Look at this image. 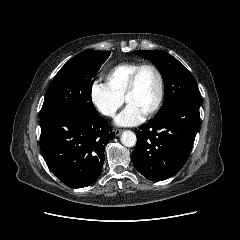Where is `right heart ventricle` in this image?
Segmentation results:
<instances>
[{"label": "right heart ventricle", "mask_w": 240, "mask_h": 240, "mask_svg": "<svg viewBox=\"0 0 240 240\" xmlns=\"http://www.w3.org/2000/svg\"><path fill=\"white\" fill-rule=\"evenodd\" d=\"M140 65L141 64L139 62L134 61H127L116 64L106 73V83L115 93L123 98L131 74Z\"/></svg>", "instance_id": "e07e8e85"}]
</instances>
